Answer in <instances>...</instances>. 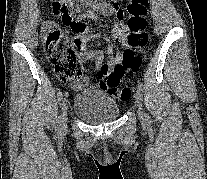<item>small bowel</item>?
Listing matches in <instances>:
<instances>
[{
  "instance_id": "1",
  "label": "small bowel",
  "mask_w": 207,
  "mask_h": 179,
  "mask_svg": "<svg viewBox=\"0 0 207 179\" xmlns=\"http://www.w3.org/2000/svg\"><path fill=\"white\" fill-rule=\"evenodd\" d=\"M56 16H60L58 13H54ZM99 14H105L109 16H115L118 20L122 19L123 17V10L120 7V4L117 0H114L109 5H94L92 10L86 11L81 13L76 19L73 20L71 24L73 30L78 34V47L81 50V53L84 55L86 59H94L96 61V68H100L103 63V53L100 51H86L85 45L95 37L93 33H91L88 29L84 28L82 21L89 19V20H97ZM128 32V27L124 24H115L113 26V33L115 39L122 43L124 46H127L126 43V35ZM108 62L110 67H114L115 65L121 62V53H117L113 55V48L110 47L108 49ZM84 85L77 84L75 87L81 88Z\"/></svg>"
}]
</instances>
